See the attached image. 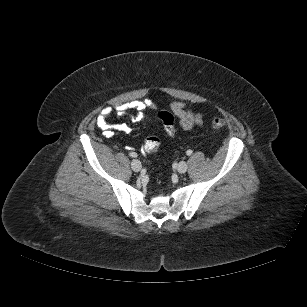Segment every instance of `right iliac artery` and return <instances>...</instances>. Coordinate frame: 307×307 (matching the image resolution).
Instances as JSON below:
<instances>
[{"instance_id": "obj_1", "label": "right iliac artery", "mask_w": 307, "mask_h": 307, "mask_svg": "<svg viewBox=\"0 0 307 307\" xmlns=\"http://www.w3.org/2000/svg\"><path fill=\"white\" fill-rule=\"evenodd\" d=\"M130 156L137 157V154L136 153H130Z\"/></svg>"}]
</instances>
